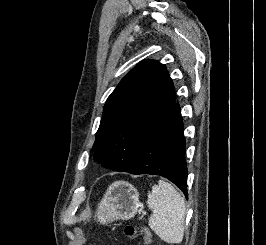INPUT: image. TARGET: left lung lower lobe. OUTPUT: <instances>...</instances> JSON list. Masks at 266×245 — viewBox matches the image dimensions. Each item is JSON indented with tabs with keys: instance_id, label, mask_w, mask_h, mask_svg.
<instances>
[{
	"instance_id": "0a47b994",
	"label": "left lung lower lobe",
	"mask_w": 266,
	"mask_h": 245,
	"mask_svg": "<svg viewBox=\"0 0 266 245\" xmlns=\"http://www.w3.org/2000/svg\"><path fill=\"white\" fill-rule=\"evenodd\" d=\"M125 172L165 177L188 196L185 138L178 103L174 102L141 138Z\"/></svg>"
}]
</instances>
